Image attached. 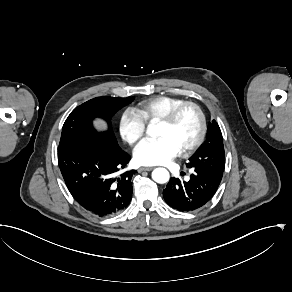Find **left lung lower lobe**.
<instances>
[{"mask_svg": "<svg viewBox=\"0 0 292 292\" xmlns=\"http://www.w3.org/2000/svg\"><path fill=\"white\" fill-rule=\"evenodd\" d=\"M222 176L193 171L189 181L171 178L163 190L166 203L181 212H190L204 206L213 197Z\"/></svg>", "mask_w": 292, "mask_h": 292, "instance_id": "left-lung-lower-lobe-1", "label": "left lung lower lobe"}]
</instances>
